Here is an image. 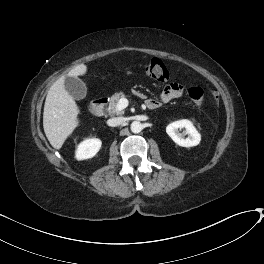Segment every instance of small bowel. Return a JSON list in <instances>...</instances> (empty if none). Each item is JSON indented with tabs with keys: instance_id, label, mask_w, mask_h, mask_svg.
<instances>
[{
	"instance_id": "small-bowel-1",
	"label": "small bowel",
	"mask_w": 264,
	"mask_h": 264,
	"mask_svg": "<svg viewBox=\"0 0 264 264\" xmlns=\"http://www.w3.org/2000/svg\"><path fill=\"white\" fill-rule=\"evenodd\" d=\"M136 94L140 98H144V95L142 93L137 92ZM181 95L182 91L180 87L176 83H170L165 86L158 98L144 100V106L148 109H157L163 103L179 98Z\"/></svg>"
}]
</instances>
